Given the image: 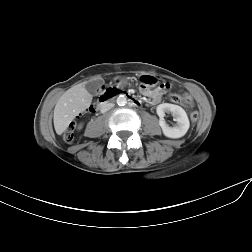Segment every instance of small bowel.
<instances>
[{
    "mask_svg": "<svg viewBox=\"0 0 252 252\" xmlns=\"http://www.w3.org/2000/svg\"><path fill=\"white\" fill-rule=\"evenodd\" d=\"M169 85H162L160 88L156 90H151L149 88H142V91L145 95H147L151 99V104H158L161 100V96L163 93H166L169 90Z\"/></svg>",
    "mask_w": 252,
    "mask_h": 252,
    "instance_id": "1",
    "label": "small bowel"
}]
</instances>
